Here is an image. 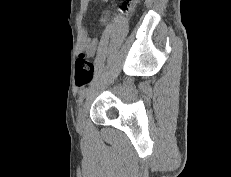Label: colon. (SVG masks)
Instances as JSON below:
<instances>
[{
  "label": "colon",
  "mask_w": 231,
  "mask_h": 177,
  "mask_svg": "<svg viewBox=\"0 0 231 177\" xmlns=\"http://www.w3.org/2000/svg\"><path fill=\"white\" fill-rule=\"evenodd\" d=\"M135 2V0H129L128 3L124 5V8L127 9L129 4ZM94 77V65L87 58L84 52H81L78 55L76 60V68H75V82L77 86L81 87L93 80Z\"/></svg>",
  "instance_id": "5ec220e1"
}]
</instances>
